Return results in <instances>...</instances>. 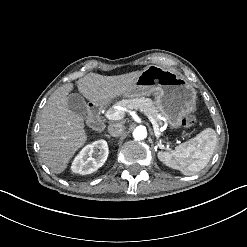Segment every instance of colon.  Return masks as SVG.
<instances>
[{
  "label": "colon",
  "instance_id": "1",
  "mask_svg": "<svg viewBox=\"0 0 247 247\" xmlns=\"http://www.w3.org/2000/svg\"><path fill=\"white\" fill-rule=\"evenodd\" d=\"M192 122H194V120L188 116L184 117V119H183V123L189 124Z\"/></svg>",
  "mask_w": 247,
  "mask_h": 247
}]
</instances>
